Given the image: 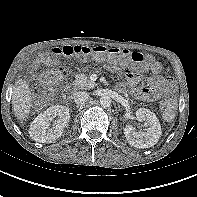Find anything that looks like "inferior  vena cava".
<instances>
[{
  "mask_svg": "<svg viewBox=\"0 0 197 197\" xmlns=\"http://www.w3.org/2000/svg\"><path fill=\"white\" fill-rule=\"evenodd\" d=\"M89 99V93L86 91H78L74 94V102L78 105H82Z\"/></svg>",
  "mask_w": 197,
  "mask_h": 197,
  "instance_id": "inferior-vena-cava-1",
  "label": "inferior vena cava"
}]
</instances>
